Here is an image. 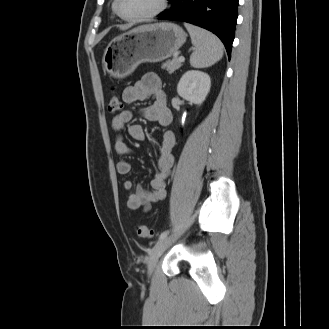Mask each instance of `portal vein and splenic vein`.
Returning a JSON list of instances; mask_svg holds the SVG:
<instances>
[{"label":"portal vein and splenic vein","instance_id":"obj_1","mask_svg":"<svg viewBox=\"0 0 329 329\" xmlns=\"http://www.w3.org/2000/svg\"><path fill=\"white\" fill-rule=\"evenodd\" d=\"M178 59H179L180 62H184L185 61V58L183 56H180Z\"/></svg>","mask_w":329,"mask_h":329}]
</instances>
